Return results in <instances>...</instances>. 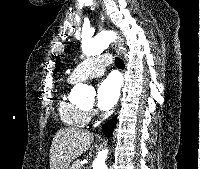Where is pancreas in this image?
I'll use <instances>...</instances> for the list:
<instances>
[{
	"mask_svg": "<svg viewBox=\"0 0 200 169\" xmlns=\"http://www.w3.org/2000/svg\"><path fill=\"white\" fill-rule=\"evenodd\" d=\"M69 169H81L80 168V162L75 161Z\"/></svg>",
	"mask_w": 200,
	"mask_h": 169,
	"instance_id": "1",
	"label": "pancreas"
}]
</instances>
